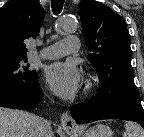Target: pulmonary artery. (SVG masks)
<instances>
[{
    "mask_svg": "<svg viewBox=\"0 0 144 137\" xmlns=\"http://www.w3.org/2000/svg\"><path fill=\"white\" fill-rule=\"evenodd\" d=\"M79 40L76 37H65L42 50L41 56L45 59H57L77 52L79 49Z\"/></svg>",
    "mask_w": 144,
    "mask_h": 137,
    "instance_id": "1",
    "label": "pulmonary artery"
}]
</instances>
